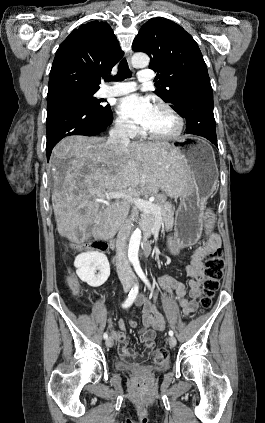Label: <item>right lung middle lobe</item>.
I'll return each instance as SVG.
<instances>
[{
  "instance_id": "obj_1",
  "label": "right lung middle lobe",
  "mask_w": 265,
  "mask_h": 423,
  "mask_svg": "<svg viewBox=\"0 0 265 423\" xmlns=\"http://www.w3.org/2000/svg\"><path fill=\"white\" fill-rule=\"evenodd\" d=\"M97 92V90H83V89H77V90H71L67 91L58 95L63 96H71L78 98L82 100L84 103L89 105L91 108H93L96 111L100 112H108L110 111V105H102L101 100H97L96 97H94V94ZM57 96V95H55ZM54 96L47 97V100L53 98Z\"/></svg>"
}]
</instances>
